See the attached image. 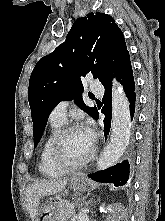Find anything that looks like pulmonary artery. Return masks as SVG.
Here are the masks:
<instances>
[{"mask_svg":"<svg viewBox=\"0 0 165 221\" xmlns=\"http://www.w3.org/2000/svg\"><path fill=\"white\" fill-rule=\"evenodd\" d=\"M90 89L94 92H102V87L95 83L92 82L90 84ZM69 106L68 101H61L59 104L55 106V108L52 110L50 113V121L51 122H58V123H64L66 121V112Z\"/></svg>","mask_w":165,"mask_h":221,"instance_id":"1","label":"pulmonary artery"}]
</instances>
